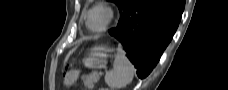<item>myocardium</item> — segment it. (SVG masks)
<instances>
[{
    "label": "myocardium",
    "instance_id": "1",
    "mask_svg": "<svg viewBox=\"0 0 228 90\" xmlns=\"http://www.w3.org/2000/svg\"><path fill=\"white\" fill-rule=\"evenodd\" d=\"M96 9H102L103 11H105L106 13V21L104 23V25L99 28V29H92L89 25V19H90V15L91 13L96 10ZM115 16V12L114 9L107 3L104 2H99L97 4H95L94 6H92L87 14H86V27L88 28V30H90L91 32H95V33H99V32H103L105 31L112 23L113 19Z\"/></svg>",
    "mask_w": 228,
    "mask_h": 90
}]
</instances>
